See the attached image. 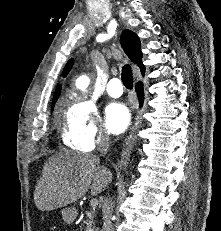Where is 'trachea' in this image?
<instances>
[{
    "label": "trachea",
    "mask_w": 221,
    "mask_h": 231,
    "mask_svg": "<svg viewBox=\"0 0 221 231\" xmlns=\"http://www.w3.org/2000/svg\"><path fill=\"white\" fill-rule=\"evenodd\" d=\"M122 82L127 89L133 88V75L130 66L124 65L122 68V75H121Z\"/></svg>",
    "instance_id": "trachea-1"
}]
</instances>
